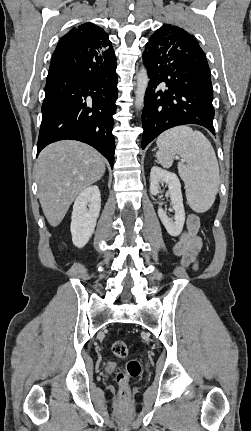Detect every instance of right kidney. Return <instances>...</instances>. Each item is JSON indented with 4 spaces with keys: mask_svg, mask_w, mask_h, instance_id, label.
Masks as SVG:
<instances>
[{
    "mask_svg": "<svg viewBox=\"0 0 251 431\" xmlns=\"http://www.w3.org/2000/svg\"><path fill=\"white\" fill-rule=\"evenodd\" d=\"M101 208V196L98 186H89L76 198L73 205L70 226L73 244L84 247L94 233Z\"/></svg>",
    "mask_w": 251,
    "mask_h": 431,
    "instance_id": "1",
    "label": "right kidney"
}]
</instances>
